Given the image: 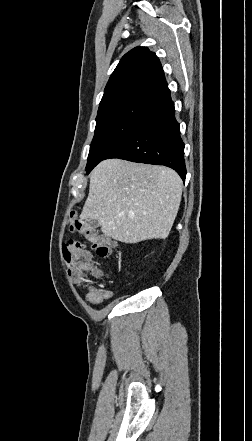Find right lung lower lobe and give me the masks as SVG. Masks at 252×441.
I'll use <instances>...</instances> for the list:
<instances>
[{"mask_svg": "<svg viewBox=\"0 0 252 441\" xmlns=\"http://www.w3.org/2000/svg\"><path fill=\"white\" fill-rule=\"evenodd\" d=\"M109 158L168 166L185 181L184 143L167 86L146 99L137 123Z\"/></svg>", "mask_w": 252, "mask_h": 441, "instance_id": "98d812e1", "label": "right lung lower lobe"}]
</instances>
